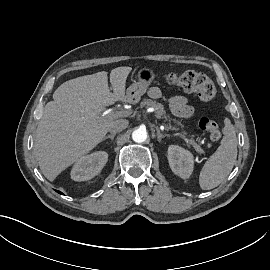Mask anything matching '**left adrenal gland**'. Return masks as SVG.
I'll return each instance as SVG.
<instances>
[{
  "instance_id": "a2214340",
  "label": "left adrenal gland",
  "mask_w": 270,
  "mask_h": 270,
  "mask_svg": "<svg viewBox=\"0 0 270 270\" xmlns=\"http://www.w3.org/2000/svg\"><path fill=\"white\" fill-rule=\"evenodd\" d=\"M156 130H157L158 141L161 142L162 138H164L165 136L160 132L158 127H156Z\"/></svg>"
}]
</instances>
